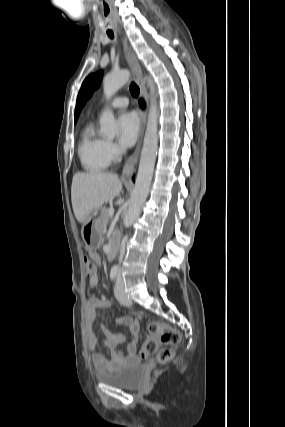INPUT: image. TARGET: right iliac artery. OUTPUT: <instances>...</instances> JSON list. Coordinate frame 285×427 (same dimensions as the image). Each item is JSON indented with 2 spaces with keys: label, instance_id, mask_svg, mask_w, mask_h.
Masks as SVG:
<instances>
[{
  "label": "right iliac artery",
  "instance_id": "1",
  "mask_svg": "<svg viewBox=\"0 0 285 427\" xmlns=\"http://www.w3.org/2000/svg\"><path fill=\"white\" fill-rule=\"evenodd\" d=\"M118 274V268L117 267H113L110 271V278L111 280H114L116 278Z\"/></svg>",
  "mask_w": 285,
  "mask_h": 427
}]
</instances>
